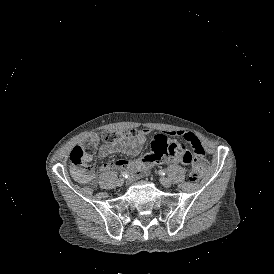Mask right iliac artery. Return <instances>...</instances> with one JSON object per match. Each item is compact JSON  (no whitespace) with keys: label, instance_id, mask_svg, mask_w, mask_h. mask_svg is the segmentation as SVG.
I'll list each match as a JSON object with an SVG mask.
<instances>
[{"label":"right iliac artery","instance_id":"right-iliac-artery-1","mask_svg":"<svg viewBox=\"0 0 274 274\" xmlns=\"http://www.w3.org/2000/svg\"><path fill=\"white\" fill-rule=\"evenodd\" d=\"M128 175H129V172H128V171H124V172H122V176H123V177L127 178V177H128Z\"/></svg>","mask_w":274,"mask_h":274}]
</instances>
